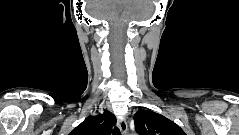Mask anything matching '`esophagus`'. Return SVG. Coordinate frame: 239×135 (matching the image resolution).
Wrapping results in <instances>:
<instances>
[{
  "label": "esophagus",
  "mask_w": 239,
  "mask_h": 135,
  "mask_svg": "<svg viewBox=\"0 0 239 135\" xmlns=\"http://www.w3.org/2000/svg\"><path fill=\"white\" fill-rule=\"evenodd\" d=\"M118 126L122 132L123 135H126L127 134V131H128V125H127V122L124 118H121L118 122Z\"/></svg>",
  "instance_id": "obj_1"
}]
</instances>
